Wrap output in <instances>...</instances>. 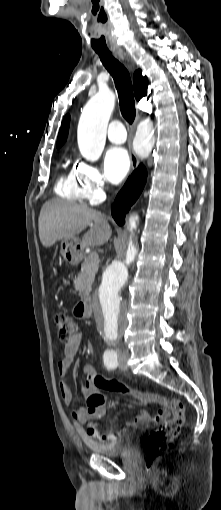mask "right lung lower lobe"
I'll return each mask as SVG.
<instances>
[{"instance_id": "obj_1", "label": "right lung lower lobe", "mask_w": 221, "mask_h": 510, "mask_svg": "<svg viewBox=\"0 0 221 510\" xmlns=\"http://www.w3.org/2000/svg\"><path fill=\"white\" fill-rule=\"evenodd\" d=\"M146 178V169L143 165H140L118 193L111 209L112 216L118 225L125 223V214L141 194Z\"/></svg>"}]
</instances>
